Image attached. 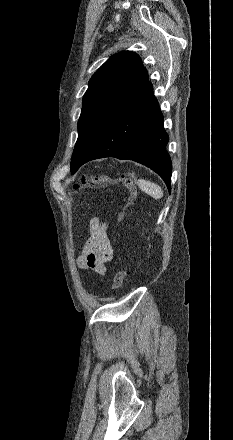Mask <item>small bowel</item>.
<instances>
[{
	"mask_svg": "<svg viewBox=\"0 0 233 440\" xmlns=\"http://www.w3.org/2000/svg\"><path fill=\"white\" fill-rule=\"evenodd\" d=\"M113 258V247L108 232V223L99 218L89 222V237L82 253L78 256L77 264L83 270L98 274L106 272V264Z\"/></svg>",
	"mask_w": 233,
	"mask_h": 440,
	"instance_id": "small-bowel-1",
	"label": "small bowel"
}]
</instances>
